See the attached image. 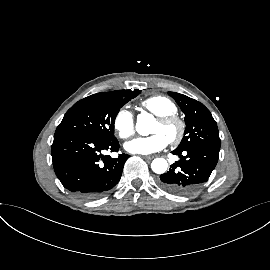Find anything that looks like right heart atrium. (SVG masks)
Listing matches in <instances>:
<instances>
[{
    "instance_id": "obj_1",
    "label": "right heart atrium",
    "mask_w": 270,
    "mask_h": 270,
    "mask_svg": "<svg viewBox=\"0 0 270 270\" xmlns=\"http://www.w3.org/2000/svg\"><path fill=\"white\" fill-rule=\"evenodd\" d=\"M113 129L121 139H127L134 133V117L127 107L120 108L112 121Z\"/></svg>"
}]
</instances>
